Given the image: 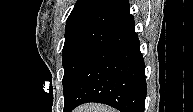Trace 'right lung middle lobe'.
Here are the masks:
<instances>
[{
  "instance_id": "1",
  "label": "right lung middle lobe",
  "mask_w": 193,
  "mask_h": 112,
  "mask_svg": "<svg viewBox=\"0 0 193 112\" xmlns=\"http://www.w3.org/2000/svg\"><path fill=\"white\" fill-rule=\"evenodd\" d=\"M116 32L96 27H84L66 31L63 47L64 101L90 57L104 45Z\"/></svg>"
}]
</instances>
